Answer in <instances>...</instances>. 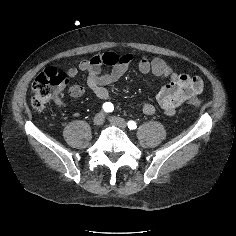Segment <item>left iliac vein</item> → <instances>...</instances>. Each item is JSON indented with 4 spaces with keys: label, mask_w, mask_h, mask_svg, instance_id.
Segmentation results:
<instances>
[{
    "label": "left iliac vein",
    "mask_w": 236,
    "mask_h": 236,
    "mask_svg": "<svg viewBox=\"0 0 236 236\" xmlns=\"http://www.w3.org/2000/svg\"><path fill=\"white\" fill-rule=\"evenodd\" d=\"M108 120L112 124L120 127L121 129H125L127 127V123H126V121L123 118H120V117H117V116H110L108 118Z\"/></svg>",
    "instance_id": "left-iliac-vein-1"
}]
</instances>
